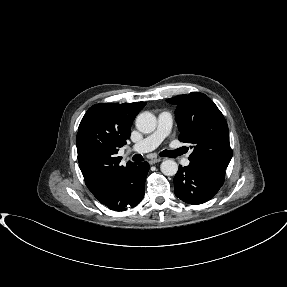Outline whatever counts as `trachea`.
Masks as SVG:
<instances>
[{
  "label": "trachea",
  "instance_id": "1",
  "mask_svg": "<svg viewBox=\"0 0 287 287\" xmlns=\"http://www.w3.org/2000/svg\"><path fill=\"white\" fill-rule=\"evenodd\" d=\"M161 156L174 157L176 155H174L173 151H164L162 152ZM132 159L133 161H136V162L143 161V157L140 154L134 155Z\"/></svg>",
  "mask_w": 287,
  "mask_h": 287
}]
</instances>
